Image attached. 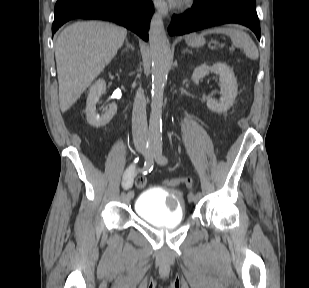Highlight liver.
Instances as JSON below:
<instances>
[{"label":"liver","instance_id":"liver-1","mask_svg":"<svg viewBox=\"0 0 309 288\" xmlns=\"http://www.w3.org/2000/svg\"><path fill=\"white\" fill-rule=\"evenodd\" d=\"M127 30L100 21L67 26L55 43L59 103L66 112L80 98L123 45Z\"/></svg>","mask_w":309,"mask_h":288}]
</instances>
